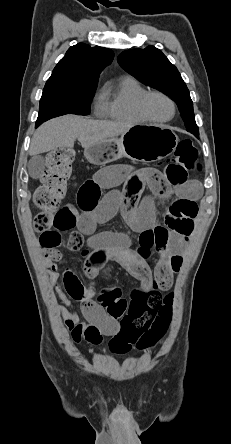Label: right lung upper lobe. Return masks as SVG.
<instances>
[{
    "label": "right lung upper lobe",
    "mask_w": 231,
    "mask_h": 444,
    "mask_svg": "<svg viewBox=\"0 0 231 444\" xmlns=\"http://www.w3.org/2000/svg\"><path fill=\"white\" fill-rule=\"evenodd\" d=\"M114 53L104 47L84 43L71 46L58 62L44 89H93L101 71L109 65Z\"/></svg>",
    "instance_id": "cb5924a9"
}]
</instances>
